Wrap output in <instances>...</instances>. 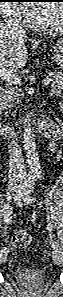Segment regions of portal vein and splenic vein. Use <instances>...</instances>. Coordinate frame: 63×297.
<instances>
[{
	"label": "portal vein and splenic vein",
	"mask_w": 63,
	"mask_h": 297,
	"mask_svg": "<svg viewBox=\"0 0 63 297\" xmlns=\"http://www.w3.org/2000/svg\"><path fill=\"white\" fill-rule=\"evenodd\" d=\"M3 79L8 82H12L13 80H15V77L12 74H8V75L4 76ZM52 81H53L52 78L47 77L44 79L43 83L45 85H49Z\"/></svg>",
	"instance_id": "portal-vein-and-splenic-vein-1"
}]
</instances>
